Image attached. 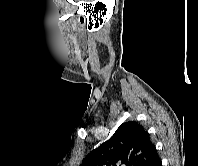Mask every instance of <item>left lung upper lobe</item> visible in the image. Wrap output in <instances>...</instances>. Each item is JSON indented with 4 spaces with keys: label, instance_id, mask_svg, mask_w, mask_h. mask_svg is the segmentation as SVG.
Listing matches in <instances>:
<instances>
[{
    "label": "left lung upper lobe",
    "instance_id": "5c2ea615",
    "mask_svg": "<svg viewBox=\"0 0 198 166\" xmlns=\"http://www.w3.org/2000/svg\"><path fill=\"white\" fill-rule=\"evenodd\" d=\"M156 154L149 133L139 123L129 121L91 151L80 166H149Z\"/></svg>",
    "mask_w": 198,
    "mask_h": 166
}]
</instances>
